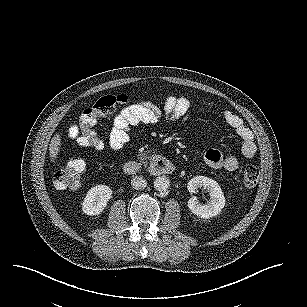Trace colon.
I'll list each match as a JSON object with an SVG mask.
<instances>
[{
    "instance_id": "5ec220e1",
    "label": "colon",
    "mask_w": 307,
    "mask_h": 307,
    "mask_svg": "<svg viewBox=\"0 0 307 307\" xmlns=\"http://www.w3.org/2000/svg\"><path fill=\"white\" fill-rule=\"evenodd\" d=\"M126 95L105 96L100 98L92 107L86 108L80 116L81 132L79 142L81 145L94 149L104 147L103 139L92 130L96 121L101 117L111 115L117 107L128 103ZM86 172V164L82 159L76 158L57 171L54 176V185L60 190L76 189L81 186ZM259 179V170L254 165H248L241 173V185L244 188H253Z\"/></svg>"
}]
</instances>
